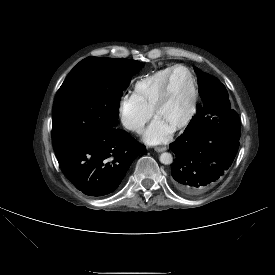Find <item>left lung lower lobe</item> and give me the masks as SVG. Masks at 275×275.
<instances>
[{"mask_svg": "<svg viewBox=\"0 0 275 275\" xmlns=\"http://www.w3.org/2000/svg\"><path fill=\"white\" fill-rule=\"evenodd\" d=\"M239 139L219 127L179 136L170 144L176 155L171 179L174 186L187 195L210 190L231 166Z\"/></svg>", "mask_w": 275, "mask_h": 275, "instance_id": "1", "label": "left lung lower lobe"}]
</instances>
